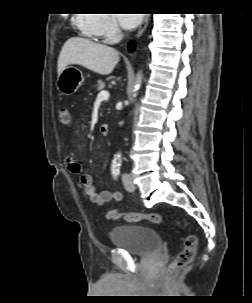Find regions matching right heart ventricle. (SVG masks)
Segmentation results:
<instances>
[{
  "label": "right heart ventricle",
  "mask_w": 252,
  "mask_h": 303,
  "mask_svg": "<svg viewBox=\"0 0 252 303\" xmlns=\"http://www.w3.org/2000/svg\"><path fill=\"white\" fill-rule=\"evenodd\" d=\"M94 16L95 15L91 14H80L77 20L89 36L98 38L101 35L95 30L93 26Z\"/></svg>",
  "instance_id": "e07e8e85"
}]
</instances>
